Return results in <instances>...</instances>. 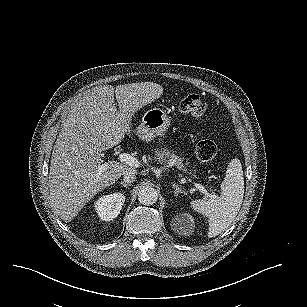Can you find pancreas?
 Returning <instances> with one entry per match:
<instances>
[{"label":"pancreas","instance_id":"cf45deb5","mask_svg":"<svg viewBox=\"0 0 307 307\" xmlns=\"http://www.w3.org/2000/svg\"><path fill=\"white\" fill-rule=\"evenodd\" d=\"M153 159L159 163L168 164L170 167H176L179 170L187 171V166L183 163V159L174 153L173 149L168 147H158L152 152Z\"/></svg>","mask_w":307,"mask_h":307}]
</instances>
